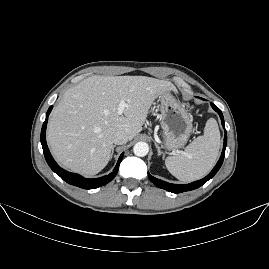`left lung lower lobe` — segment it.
Returning <instances> with one entry per match:
<instances>
[{
  "label": "left lung lower lobe",
  "mask_w": 269,
  "mask_h": 269,
  "mask_svg": "<svg viewBox=\"0 0 269 269\" xmlns=\"http://www.w3.org/2000/svg\"><path fill=\"white\" fill-rule=\"evenodd\" d=\"M211 106L219 114V116L221 118L222 126L225 127L224 118H223V114H222L221 110L217 106H215L213 103H211ZM226 145H227V132L225 131L224 144H223V150H222L221 157H220L219 161L217 162V164L215 165V167L213 168V170L205 178H203L201 180L192 182L190 184H171V183L159 180V179L153 177L152 175H150L149 173H148V177L157 187L165 189V190L172 192V193H181V192H186V191H190V190H194L196 188H199L204 183H206L209 179H211L220 169V167L223 163V160H224Z\"/></svg>",
  "instance_id": "obj_1"
}]
</instances>
